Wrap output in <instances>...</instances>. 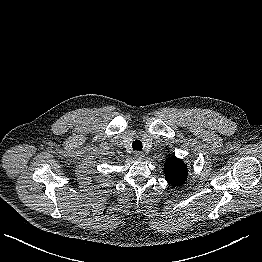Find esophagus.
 <instances>
[{
    "instance_id": "obj_1",
    "label": "esophagus",
    "mask_w": 262,
    "mask_h": 262,
    "mask_svg": "<svg viewBox=\"0 0 262 262\" xmlns=\"http://www.w3.org/2000/svg\"><path fill=\"white\" fill-rule=\"evenodd\" d=\"M134 156L137 160H142L144 158V154L142 152L136 151Z\"/></svg>"
}]
</instances>
